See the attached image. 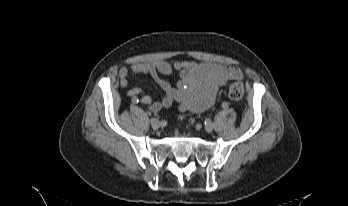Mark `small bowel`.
Listing matches in <instances>:
<instances>
[{"label": "small bowel", "mask_w": 348, "mask_h": 206, "mask_svg": "<svg viewBox=\"0 0 348 206\" xmlns=\"http://www.w3.org/2000/svg\"><path fill=\"white\" fill-rule=\"evenodd\" d=\"M178 72L180 79L173 86L162 76ZM148 76L160 87L162 97L154 102L141 88L128 89L127 95L134 104L141 103L149 111L158 112L177 103L181 111L202 112L210 108L216 98L218 89L231 80H242V71L231 65L207 62H175L156 61L134 63L119 70V83L122 88L129 87V73Z\"/></svg>", "instance_id": "small-bowel-1"}]
</instances>
